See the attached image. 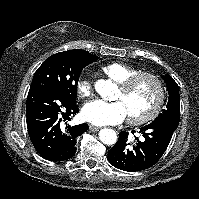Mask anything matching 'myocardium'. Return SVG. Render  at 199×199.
Returning <instances> with one entry per match:
<instances>
[{"label": "myocardium", "instance_id": "1", "mask_svg": "<svg viewBox=\"0 0 199 199\" xmlns=\"http://www.w3.org/2000/svg\"><path fill=\"white\" fill-rule=\"evenodd\" d=\"M145 79L154 83L156 87V97L148 112L141 116H128V122L131 125H142L151 122L159 114L165 100L166 93L164 83L158 75L151 72H139L122 83H119V88L123 92H128Z\"/></svg>", "mask_w": 199, "mask_h": 199}]
</instances>
